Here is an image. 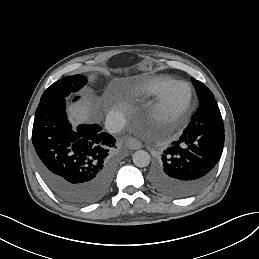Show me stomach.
<instances>
[{"label": "stomach", "mask_w": 259, "mask_h": 259, "mask_svg": "<svg viewBox=\"0 0 259 259\" xmlns=\"http://www.w3.org/2000/svg\"><path fill=\"white\" fill-rule=\"evenodd\" d=\"M142 68L143 69H150L151 68V63L150 62H144L142 64Z\"/></svg>", "instance_id": "1"}]
</instances>
